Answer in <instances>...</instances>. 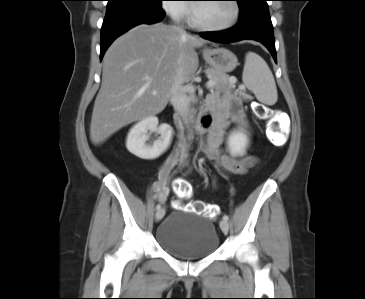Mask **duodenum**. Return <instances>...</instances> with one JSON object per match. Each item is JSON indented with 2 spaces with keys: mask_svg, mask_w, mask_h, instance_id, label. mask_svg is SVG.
<instances>
[{
  "mask_svg": "<svg viewBox=\"0 0 365 299\" xmlns=\"http://www.w3.org/2000/svg\"><path fill=\"white\" fill-rule=\"evenodd\" d=\"M213 123L214 119L212 113L210 111H203L201 112L195 127L198 132L204 133L208 132L213 127Z\"/></svg>",
  "mask_w": 365,
  "mask_h": 299,
  "instance_id": "duodenum-1",
  "label": "duodenum"
}]
</instances>
